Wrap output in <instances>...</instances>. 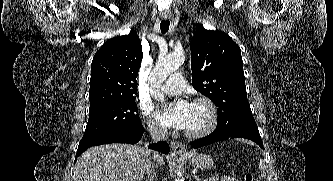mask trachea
I'll use <instances>...</instances> for the list:
<instances>
[{"label": "trachea", "instance_id": "trachea-1", "mask_svg": "<svg viewBox=\"0 0 333 181\" xmlns=\"http://www.w3.org/2000/svg\"><path fill=\"white\" fill-rule=\"evenodd\" d=\"M169 25H170L169 20L162 21L160 23L161 32L165 34L168 31V29H169Z\"/></svg>", "mask_w": 333, "mask_h": 181}]
</instances>
